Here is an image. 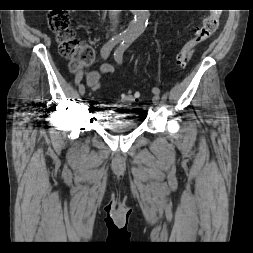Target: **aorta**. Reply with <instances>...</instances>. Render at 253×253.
I'll use <instances>...</instances> for the list:
<instances>
[{"label":"aorta","mask_w":253,"mask_h":253,"mask_svg":"<svg viewBox=\"0 0 253 253\" xmlns=\"http://www.w3.org/2000/svg\"><path fill=\"white\" fill-rule=\"evenodd\" d=\"M134 20L130 22L128 28L123 32L125 39L134 40L145 30L149 19V10H133Z\"/></svg>","instance_id":"762f6f07"}]
</instances>
